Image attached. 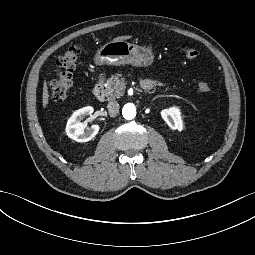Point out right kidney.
Listing matches in <instances>:
<instances>
[{
    "mask_svg": "<svg viewBox=\"0 0 255 255\" xmlns=\"http://www.w3.org/2000/svg\"><path fill=\"white\" fill-rule=\"evenodd\" d=\"M94 109L91 106H87L75 111L69 118L66 125V133L68 137L78 142H87L95 137L99 131V125H92L91 128H87L86 124L80 121L88 115L93 113Z\"/></svg>",
    "mask_w": 255,
    "mask_h": 255,
    "instance_id": "right-kidney-1",
    "label": "right kidney"
}]
</instances>
